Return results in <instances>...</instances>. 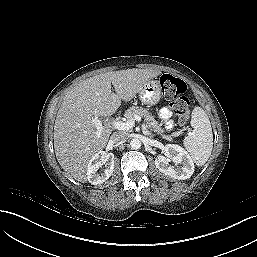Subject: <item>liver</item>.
Listing matches in <instances>:
<instances>
[{
	"instance_id": "obj_1",
	"label": "liver",
	"mask_w": 257,
	"mask_h": 257,
	"mask_svg": "<svg viewBox=\"0 0 257 257\" xmlns=\"http://www.w3.org/2000/svg\"><path fill=\"white\" fill-rule=\"evenodd\" d=\"M160 74L135 68L106 72L82 81L66 93L55 120L54 149L61 167L75 180H88V163L106 147L112 133L108 126L97 130L92 118L114 114L122 101H130L147 81Z\"/></svg>"
}]
</instances>
